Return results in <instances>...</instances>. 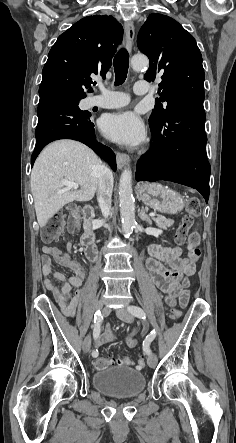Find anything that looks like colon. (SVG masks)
I'll return each mask as SVG.
<instances>
[{"mask_svg":"<svg viewBox=\"0 0 236 443\" xmlns=\"http://www.w3.org/2000/svg\"><path fill=\"white\" fill-rule=\"evenodd\" d=\"M201 212V205L199 199L191 197L186 204V213L182 218V222L176 232V241L180 244L186 243L188 248V256L191 261L196 262L201 257L200 249V235L198 232H189L194 224L195 218L199 216ZM66 219H68L69 227L75 228L79 222V213L76 209H70L55 214L41 229V239L43 242L50 243L55 241L61 234ZM181 316L180 311L174 310L170 314V318L173 320L179 319ZM116 362L122 365H132L130 357L124 356L116 360L109 356H99L94 359L93 366L96 369H105ZM138 369H144L146 367V361L144 358H140L137 365Z\"/></svg>","mask_w":236,"mask_h":443,"instance_id":"1","label":"colon"}]
</instances>
